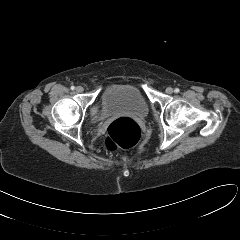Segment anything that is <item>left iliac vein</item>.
<instances>
[{
	"mask_svg": "<svg viewBox=\"0 0 240 240\" xmlns=\"http://www.w3.org/2000/svg\"><path fill=\"white\" fill-rule=\"evenodd\" d=\"M173 92H174V90H173V88H171V87H168V88L166 89V93L169 94V95H171Z\"/></svg>",
	"mask_w": 240,
	"mask_h": 240,
	"instance_id": "left-iliac-vein-1",
	"label": "left iliac vein"
}]
</instances>
